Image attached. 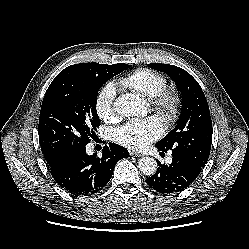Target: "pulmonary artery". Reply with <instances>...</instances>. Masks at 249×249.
Listing matches in <instances>:
<instances>
[{"mask_svg":"<svg viewBox=\"0 0 249 249\" xmlns=\"http://www.w3.org/2000/svg\"><path fill=\"white\" fill-rule=\"evenodd\" d=\"M171 161H172V159H171V157H169V158L167 159V162H168V163H171Z\"/></svg>","mask_w":249,"mask_h":249,"instance_id":"e3ab8cb5","label":"pulmonary artery"}]
</instances>
